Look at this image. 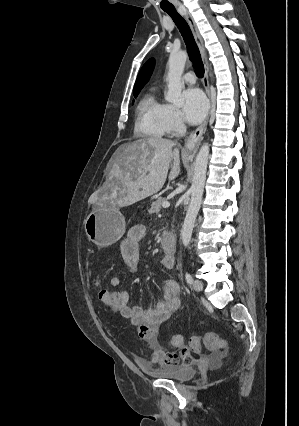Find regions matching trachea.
<instances>
[{"label": "trachea", "mask_w": 299, "mask_h": 426, "mask_svg": "<svg viewBox=\"0 0 299 426\" xmlns=\"http://www.w3.org/2000/svg\"><path fill=\"white\" fill-rule=\"evenodd\" d=\"M163 10L172 18L175 25L179 29L186 44L190 59L195 65L197 76L202 78L204 76V65L201 60L199 48L194 40L190 27L174 7Z\"/></svg>", "instance_id": "obj_1"}]
</instances>
